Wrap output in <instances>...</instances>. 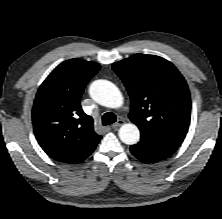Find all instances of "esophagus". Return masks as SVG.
<instances>
[{
  "mask_svg": "<svg viewBox=\"0 0 222 219\" xmlns=\"http://www.w3.org/2000/svg\"><path fill=\"white\" fill-rule=\"evenodd\" d=\"M124 124V120H118L116 123H114L111 127L113 129L118 128Z\"/></svg>",
  "mask_w": 222,
  "mask_h": 219,
  "instance_id": "esophagus-1",
  "label": "esophagus"
}]
</instances>
